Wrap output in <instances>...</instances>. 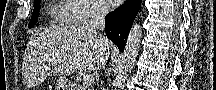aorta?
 <instances>
[{
  "label": "aorta",
  "mask_w": 216,
  "mask_h": 90,
  "mask_svg": "<svg viewBox=\"0 0 216 90\" xmlns=\"http://www.w3.org/2000/svg\"><path fill=\"white\" fill-rule=\"evenodd\" d=\"M142 26L133 24L127 38L124 52L118 60L113 80L112 90H124L128 76L134 66V62L139 54L140 42L142 38Z\"/></svg>",
  "instance_id": "1"
}]
</instances>
